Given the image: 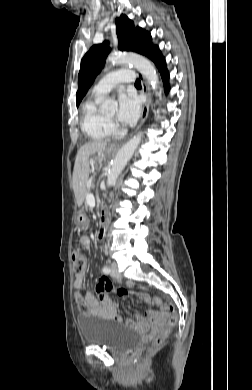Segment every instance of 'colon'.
Instances as JSON below:
<instances>
[{
    "label": "colon",
    "mask_w": 252,
    "mask_h": 390,
    "mask_svg": "<svg viewBox=\"0 0 252 390\" xmlns=\"http://www.w3.org/2000/svg\"><path fill=\"white\" fill-rule=\"evenodd\" d=\"M72 263H73V270L76 274L84 270L86 265V256L80 247H76L72 250ZM107 289L108 290L111 289V285L108 286ZM117 294L121 296H131L133 299L141 300L145 302H147L149 299V297L146 294L139 293V292H131L124 288L118 289ZM75 300L79 310L84 314H89L90 310L85 302L84 296L80 293H76ZM163 310L166 314L165 328L164 330H162L161 332L157 333L154 336L151 343L145 349L146 353H150L158 349L160 346H162L167 336L168 329L175 326L177 323L178 316L172 303H167L163 307Z\"/></svg>",
    "instance_id": "1"
}]
</instances>
